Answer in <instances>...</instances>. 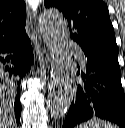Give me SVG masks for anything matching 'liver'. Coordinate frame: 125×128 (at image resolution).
Masks as SVG:
<instances>
[{
  "label": "liver",
  "mask_w": 125,
  "mask_h": 128,
  "mask_svg": "<svg viewBox=\"0 0 125 128\" xmlns=\"http://www.w3.org/2000/svg\"><path fill=\"white\" fill-rule=\"evenodd\" d=\"M14 89L0 82V128H16L13 111Z\"/></svg>",
  "instance_id": "obj_1"
}]
</instances>
